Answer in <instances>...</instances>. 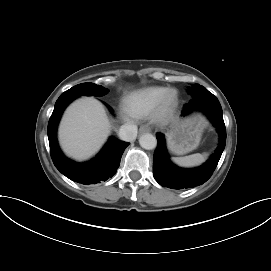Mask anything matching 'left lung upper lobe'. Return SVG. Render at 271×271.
I'll use <instances>...</instances> for the list:
<instances>
[{"instance_id": "1", "label": "left lung upper lobe", "mask_w": 271, "mask_h": 271, "mask_svg": "<svg viewBox=\"0 0 271 271\" xmlns=\"http://www.w3.org/2000/svg\"><path fill=\"white\" fill-rule=\"evenodd\" d=\"M189 92L192 94L193 98L201 94L209 93V91L205 89V87L200 86V85H194L193 88H190Z\"/></svg>"}]
</instances>
